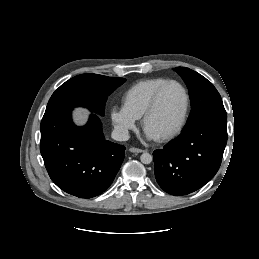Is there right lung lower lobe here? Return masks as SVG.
<instances>
[{
	"label": "right lung lower lobe",
	"mask_w": 259,
	"mask_h": 259,
	"mask_svg": "<svg viewBox=\"0 0 259 259\" xmlns=\"http://www.w3.org/2000/svg\"><path fill=\"white\" fill-rule=\"evenodd\" d=\"M71 112L68 109L43 117L40 152L51 180L60 189L79 198H92L113 182L125 147L105 139L95 114L84 127H77Z\"/></svg>",
	"instance_id": "1"
}]
</instances>
